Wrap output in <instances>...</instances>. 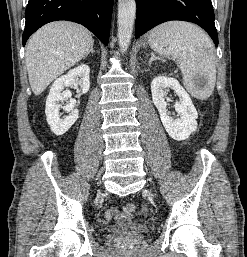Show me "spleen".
<instances>
[{"instance_id":"spleen-1","label":"spleen","mask_w":247,"mask_h":257,"mask_svg":"<svg viewBox=\"0 0 247 257\" xmlns=\"http://www.w3.org/2000/svg\"><path fill=\"white\" fill-rule=\"evenodd\" d=\"M150 47L160 55L175 58L180 65L188 91L199 99L208 98L215 87L214 45L196 25L170 21L155 27L149 34ZM201 78L202 83H196Z\"/></svg>"}]
</instances>
